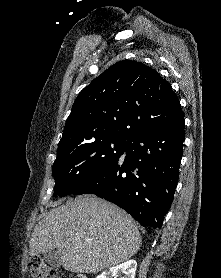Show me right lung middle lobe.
I'll list each match as a JSON object with an SVG mask.
<instances>
[{"instance_id": "1", "label": "right lung middle lobe", "mask_w": 221, "mask_h": 278, "mask_svg": "<svg viewBox=\"0 0 221 278\" xmlns=\"http://www.w3.org/2000/svg\"><path fill=\"white\" fill-rule=\"evenodd\" d=\"M126 138L105 136L90 139L57 153L52 172L55 195L72 194L122 156Z\"/></svg>"}]
</instances>
